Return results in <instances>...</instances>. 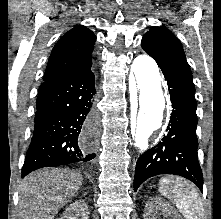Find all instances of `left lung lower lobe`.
Here are the masks:
<instances>
[{
  "instance_id": "obj_1",
  "label": "left lung lower lobe",
  "mask_w": 221,
  "mask_h": 219,
  "mask_svg": "<svg viewBox=\"0 0 221 219\" xmlns=\"http://www.w3.org/2000/svg\"><path fill=\"white\" fill-rule=\"evenodd\" d=\"M157 64L167 81L173 110L162 142L147 150L137 161L134 191L145 180L159 174L185 177L202 191L203 175L197 159V103L192 78L173 66Z\"/></svg>"
}]
</instances>
